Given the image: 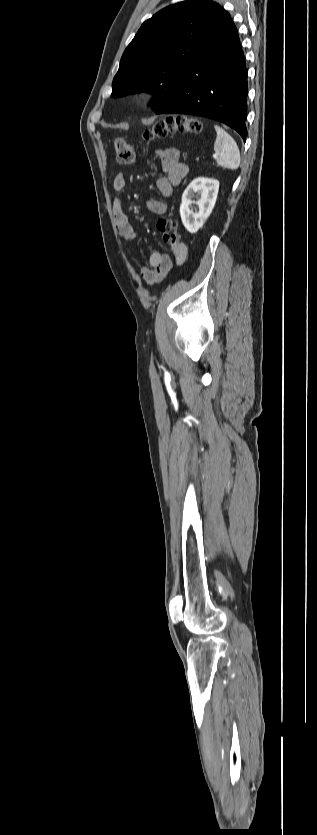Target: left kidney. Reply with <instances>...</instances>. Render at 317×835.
Instances as JSON below:
<instances>
[{
  "label": "left kidney",
  "instance_id": "1",
  "mask_svg": "<svg viewBox=\"0 0 317 835\" xmlns=\"http://www.w3.org/2000/svg\"><path fill=\"white\" fill-rule=\"evenodd\" d=\"M218 191L219 181L211 178H196L187 186L182 195L180 216L190 233L197 232L210 216Z\"/></svg>",
  "mask_w": 317,
  "mask_h": 835
}]
</instances>
